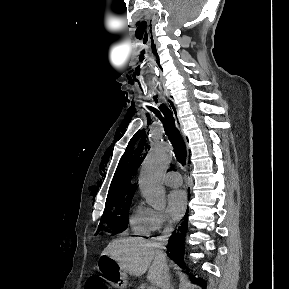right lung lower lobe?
<instances>
[{
	"label": "right lung lower lobe",
	"mask_w": 289,
	"mask_h": 289,
	"mask_svg": "<svg viewBox=\"0 0 289 289\" xmlns=\"http://www.w3.org/2000/svg\"><path fill=\"white\" fill-rule=\"evenodd\" d=\"M186 217L187 216H185V222L181 225L179 231L172 233L168 243V251H169L168 256L181 267L185 266L183 262V255H184V240L187 231Z\"/></svg>",
	"instance_id": "98d812e1"
}]
</instances>
